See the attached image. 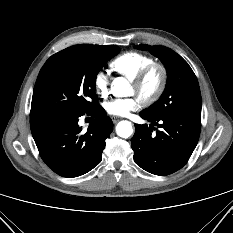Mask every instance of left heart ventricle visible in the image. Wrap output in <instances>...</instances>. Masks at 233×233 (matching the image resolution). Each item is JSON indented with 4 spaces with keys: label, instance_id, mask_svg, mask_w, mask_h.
Wrapping results in <instances>:
<instances>
[{
    "label": "left heart ventricle",
    "instance_id": "b2bd125f",
    "mask_svg": "<svg viewBox=\"0 0 233 233\" xmlns=\"http://www.w3.org/2000/svg\"><path fill=\"white\" fill-rule=\"evenodd\" d=\"M159 81H160L159 71L155 70L148 76V78L146 79L144 85L140 90H138L133 84H131L130 94H137L139 98L141 96H149L156 90Z\"/></svg>",
    "mask_w": 233,
    "mask_h": 233
}]
</instances>
